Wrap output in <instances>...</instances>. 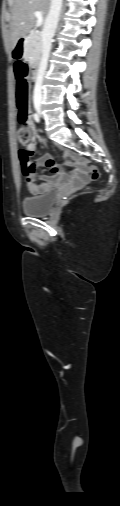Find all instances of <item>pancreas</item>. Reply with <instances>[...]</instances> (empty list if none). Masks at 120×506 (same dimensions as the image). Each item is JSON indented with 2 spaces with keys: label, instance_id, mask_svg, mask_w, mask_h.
<instances>
[{
  "label": "pancreas",
  "instance_id": "cf45deb5",
  "mask_svg": "<svg viewBox=\"0 0 120 506\" xmlns=\"http://www.w3.org/2000/svg\"><path fill=\"white\" fill-rule=\"evenodd\" d=\"M41 53H42L41 34L32 31L26 39L24 47V58L33 63L40 59Z\"/></svg>",
  "mask_w": 120,
  "mask_h": 506
}]
</instances>
